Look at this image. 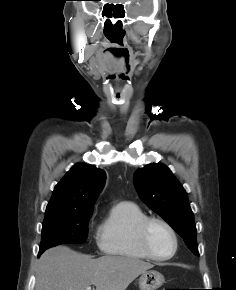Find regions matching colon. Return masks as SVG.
Returning a JSON list of instances; mask_svg holds the SVG:
<instances>
[{
  "instance_id": "1",
  "label": "colon",
  "mask_w": 236,
  "mask_h": 290,
  "mask_svg": "<svg viewBox=\"0 0 236 290\" xmlns=\"http://www.w3.org/2000/svg\"><path fill=\"white\" fill-rule=\"evenodd\" d=\"M164 290H177V289H169V288H167V289H164Z\"/></svg>"
}]
</instances>
